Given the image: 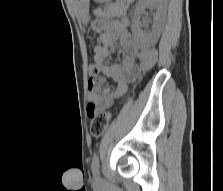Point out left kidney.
<instances>
[{
  "label": "left kidney",
  "instance_id": "obj_1",
  "mask_svg": "<svg viewBox=\"0 0 223 191\" xmlns=\"http://www.w3.org/2000/svg\"><path fill=\"white\" fill-rule=\"evenodd\" d=\"M167 0H141L137 4L134 19H133V34L143 45L154 44L161 33L162 25L165 17ZM154 9V22L149 30L143 31L140 25V14L145 8Z\"/></svg>",
  "mask_w": 223,
  "mask_h": 191
}]
</instances>
